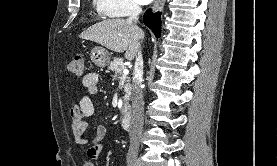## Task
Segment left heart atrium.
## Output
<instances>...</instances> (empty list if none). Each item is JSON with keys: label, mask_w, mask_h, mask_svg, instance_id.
<instances>
[{"label": "left heart atrium", "mask_w": 277, "mask_h": 166, "mask_svg": "<svg viewBox=\"0 0 277 166\" xmlns=\"http://www.w3.org/2000/svg\"><path fill=\"white\" fill-rule=\"evenodd\" d=\"M151 1H152V0H136L137 3L142 4V5L148 4V3H150Z\"/></svg>", "instance_id": "1"}]
</instances>
